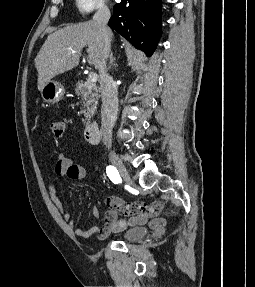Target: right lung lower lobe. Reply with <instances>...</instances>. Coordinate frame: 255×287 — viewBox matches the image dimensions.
Segmentation results:
<instances>
[{"label":"right lung lower lobe","instance_id":"98d812e1","mask_svg":"<svg viewBox=\"0 0 255 287\" xmlns=\"http://www.w3.org/2000/svg\"><path fill=\"white\" fill-rule=\"evenodd\" d=\"M108 25L151 56L161 36V0H122Z\"/></svg>","mask_w":255,"mask_h":287}]
</instances>
